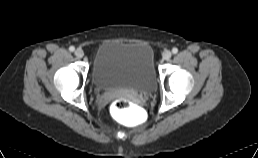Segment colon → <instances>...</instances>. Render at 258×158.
Instances as JSON below:
<instances>
[{
    "mask_svg": "<svg viewBox=\"0 0 258 158\" xmlns=\"http://www.w3.org/2000/svg\"><path fill=\"white\" fill-rule=\"evenodd\" d=\"M130 103L122 98L114 100L110 105V111L115 116L122 115L128 108Z\"/></svg>",
    "mask_w": 258,
    "mask_h": 158,
    "instance_id": "1",
    "label": "colon"
}]
</instances>
